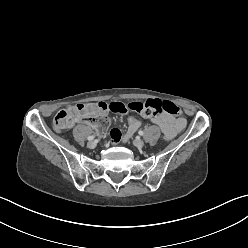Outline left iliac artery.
<instances>
[{"instance_id":"1","label":"left iliac artery","mask_w":248,"mask_h":248,"mask_svg":"<svg viewBox=\"0 0 248 248\" xmlns=\"http://www.w3.org/2000/svg\"><path fill=\"white\" fill-rule=\"evenodd\" d=\"M138 134L142 136V135H143V131L140 130V131L138 132Z\"/></svg>"}]
</instances>
